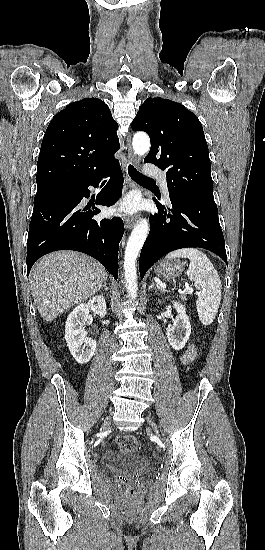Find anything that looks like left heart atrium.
Here are the masks:
<instances>
[{
  "label": "left heart atrium",
  "instance_id": "obj_1",
  "mask_svg": "<svg viewBox=\"0 0 265 550\" xmlns=\"http://www.w3.org/2000/svg\"><path fill=\"white\" fill-rule=\"evenodd\" d=\"M137 203L134 199L129 198L126 199L121 206L118 208L119 211L125 212V213H131L136 210Z\"/></svg>",
  "mask_w": 265,
  "mask_h": 550
}]
</instances>
